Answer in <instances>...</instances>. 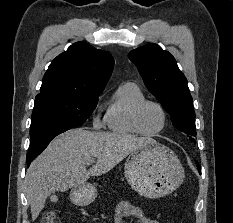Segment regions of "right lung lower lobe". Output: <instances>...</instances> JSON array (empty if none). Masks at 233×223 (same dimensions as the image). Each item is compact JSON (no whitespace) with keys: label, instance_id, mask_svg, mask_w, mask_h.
Instances as JSON below:
<instances>
[{"label":"right lung lower lobe","instance_id":"obj_1","mask_svg":"<svg viewBox=\"0 0 233 223\" xmlns=\"http://www.w3.org/2000/svg\"><path fill=\"white\" fill-rule=\"evenodd\" d=\"M38 154L27 155V166L29 167L31 161L37 156Z\"/></svg>","mask_w":233,"mask_h":223}]
</instances>
